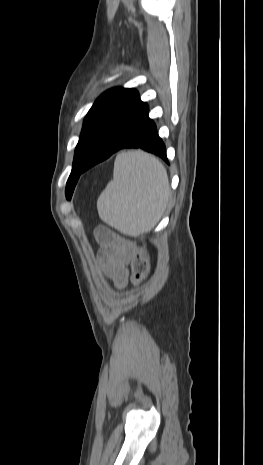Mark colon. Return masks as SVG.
Returning a JSON list of instances; mask_svg holds the SVG:
<instances>
[{
  "label": "colon",
  "instance_id": "obj_1",
  "mask_svg": "<svg viewBox=\"0 0 263 465\" xmlns=\"http://www.w3.org/2000/svg\"><path fill=\"white\" fill-rule=\"evenodd\" d=\"M131 271V281L136 285L141 283L149 271L148 257L142 248H137L134 251L131 261Z\"/></svg>",
  "mask_w": 263,
  "mask_h": 465
}]
</instances>
